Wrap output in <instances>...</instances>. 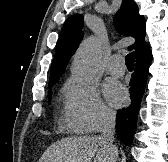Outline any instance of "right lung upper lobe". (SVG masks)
<instances>
[{
  "instance_id": "cb5924a9",
  "label": "right lung upper lobe",
  "mask_w": 168,
  "mask_h": 162,
  "mask_svg": "<svg viewBox=\"0 0 168 162\" xmlns=\"http://www.w3.org/2000/svg\"><path fill=\"white\" fill-rule=\"evenodd\" d=\"M114 23L121 34L135 38V43L129 49L135 50L136 58L150 52L149 45L144 41L145 18L139 14L138 6L133 0H123L114 17ZM82 27V15L74 14L65 21L51 65L49 83L57 82L64 73L67 63L82 40Z\"/></svg>"
}]
</instances>
